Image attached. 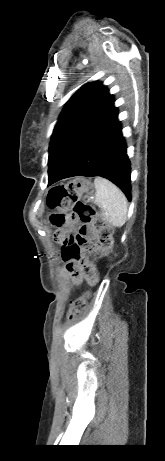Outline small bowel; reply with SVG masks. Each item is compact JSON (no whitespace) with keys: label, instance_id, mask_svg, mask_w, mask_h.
<instances>
[{"label":"small bowel","instance_id":"small-bowel-1","mask_svg":"<svg viewBox=\"0 0 165 461\" xmlns=\"http://www.w3.org/2000/svg\"><path fill=\"white\" fill-rule=\"evenodd\" d=\"M69 226L74 229H57V233H52V241H56L57 248L61 249L62 281L78 284L83 278L81 267L87 263L84 246L93 242L96 236L95 225H75L73 221Z\"/></svg>","mask_w":165,"mask_h":461}]
</instances>
